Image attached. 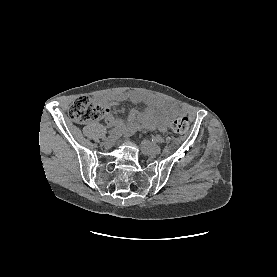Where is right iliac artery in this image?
I'll use <instances>...</instances> for the list:
<instances>
[{
	"mask_svg": "<svg viewBox=\"0 0 277 277\" xmlns=\"http://www.w3.org/2000/svg\"><path fill=\"white\" fill-rule=\"evenodd\" d=\"M122 131H123L122 127H116V128L110 129L108 134H109V136H111V135L118 134V133H120Z\"/></svg>",
	"mask_w": 277,
	"mask_h": 277,
	"instance_id": "1",
	"label": "right iliac artery"
}]
</instances>
